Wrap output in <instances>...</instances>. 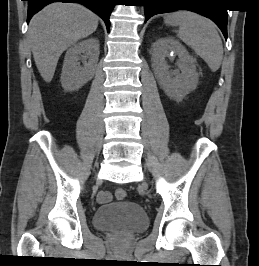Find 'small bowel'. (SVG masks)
<instances>
[{"mask_svg":"<svg viewBox=\"0 0 259 266\" xmlns=\"http://www.w3.org/2000/svg\"><path fill=\"white\" fill-rule=\"evenodd\" d=\"M111 199H112V195L108 191H101L97 195V201L99 203H107L111 201Z\"/></svg>","mask_w":259,"mask_h":266,"instance_id":"small-bowel-1","label":"small bowel"}]
</instances>
